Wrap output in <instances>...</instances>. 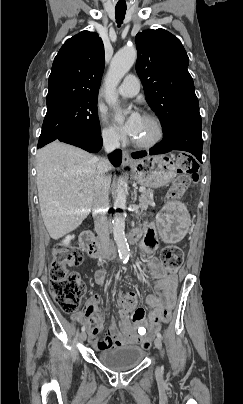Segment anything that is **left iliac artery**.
<instances>
[{
    "label": "left iliac artery",
    "mask_w": 243,
    "mask_h": 404,
    "mask_svg": "<svg viewBox=\"0 0 243 404\" xmlns=\"http://www.w3.org/2000/svg\"><path fill=\"white\" fill-rule=\"evenodd\" d=\"M157 337L160 338V339L162 338V335H161L160 332L157 333Z\"/></svg>",
    "instance_id": "left-iliac-artery-1"
}]
</instances>
